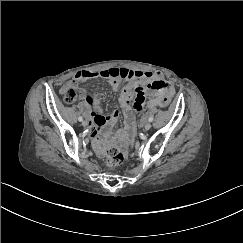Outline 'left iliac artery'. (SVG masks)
I'll return each mask as SVG.
<instances>
[{"instance_id":"obj_1","label":"left iliac artery","mask_w":243,"mask_h":243,"mask_svg":"<svg viewBox=\"0 0 243 243\" xmlns=\"http://www.w3.org/2000/svg\"><path fill=\"white\" fill-rule=\"evenodd\" d=\"M153 119H154V118H153L152 116H150L148 120H149V122H152Z\"/></svg>"}]
</instances>
